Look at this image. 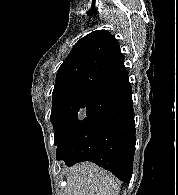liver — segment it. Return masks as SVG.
<instances>
[{
    "mask_svg": "<svg viewBox=\"0 0 178 195\" xmlns=\"http://www.w3.org/2000/svg\"><path fill=\"white\" fill-rule=\"evenodd\" d=\"M66 181V195H119L120 182L91 162L67 169Z\"/></svg>",
    "mask_w": 178,
    "mask_h": 195,
    "instance_id": "1",
    "label": "liver"
}]
</instances>
